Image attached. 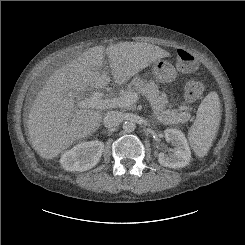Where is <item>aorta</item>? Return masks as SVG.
<instances>
[{
  "label": "aorta",
  "instance_id": "762f6f07",
  "mask_svg": "<svg viewBox=\"0 0 245 245\" xmlns=\"http://www.w3.org/2000/svg\"><path fill=\"white\" fill-rule=\"evenodd\" d=\"M135 128H136V124L133 121H125L123 123V129L128 133L133 132Z\"/></svg>",
  "mask_w": 245,
  "mask_h": 245
}]
</instances>
